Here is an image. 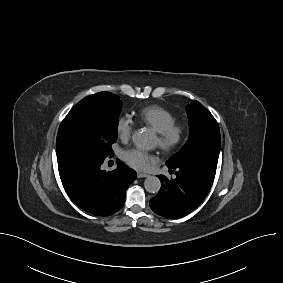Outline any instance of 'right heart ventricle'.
I'll list each match as a JSON object with an SVG mask.
<instances>
[{
	"label": "right heart ventricle",
	"instance_id": "right-heart-ventricle-1",
	"mask_svg": "<svg viewBox=\"0 0 283 283\" xmlns=\"http://www.w3.org/2000/svg\"><path fill=\"white\" fill-rule=\"evenodd\" d=\"M137 118L156 132L175 121L172 112L158 105L144 107L137 113Z\"/></svg>",
	"mask_w": 283,
	"mask_h": 283
}]
</instances>
